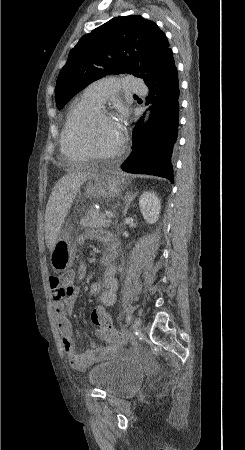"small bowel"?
Segmentation results:
<instances>
[{"label":"small bowel","instance_id":"c3829d8e","mask_svg":"<svg viewBox=\"0 0 245 450\" xmlns=\"http://www.w3.org/2000/svg\"><path fill=\"white\" fill-rule=\"evenodd\" d=\"M98 238L104 244L105 250L103 257L110 259V265L105 270L104 277L92 285V291L99 297V302L104 307H110L115 304V292L117 289V280L115 278L116 266L114 259L118 250V241L113 234L104 233L97 236L92 233L80 234L77 238V243L84 246L90 239ZM86 275L84 267L80 266L77 271L79 279H83ZM67 282L58 275H51L48 278L49 287L51 289L53 299V311L55 314L57 326L61 335V343L64 352L67 355L70 365L77 370H83L91 366L98 358H100L106 351V348L96 347L91 344L90 348L86 350H79L76 348L74 335L68 314L73 310L78 297L80 295V288L73 283L75 275L68 274ZM97 337L107 343L110 339L105 330L98 328L96 331Z\"/></svg>","mask_w":245,"mask_h":450}]
</instances>
